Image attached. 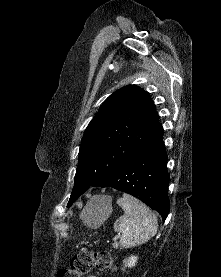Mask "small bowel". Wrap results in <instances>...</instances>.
<instances>
[{"label": "small bowel", "instance_id": "small-bowel-1", "mask_svg": "<svg viewBox=\"0 0 221 277\" xmlns=\"http://www.w3.org/2000/svg\"><path fill=\"white\" fill-rule=\"evenodd\" d=\"M88 277H97V276H93V275H92V276H88Z\"/></svg>", "mask_w": 221, "mask_h": 277}]
</instances>
